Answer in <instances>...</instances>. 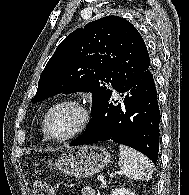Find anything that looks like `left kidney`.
I'll use <instances>...</instances> for the list:
<instances>
[{"mask_svg":"<svg viewBox=\"0 0 189 195\" xmlns=\"http://www.w3.org/2000/svg\"><path fill=\"white\" fill-rule=\"evenodd\" d=\"M111 195H135L132 191L125 188H116L112 191Z\"/></svg>","mask_w":189,"mask_h":195,"instance_id":"obj_1","label":"left kidney"}]
</instances>
